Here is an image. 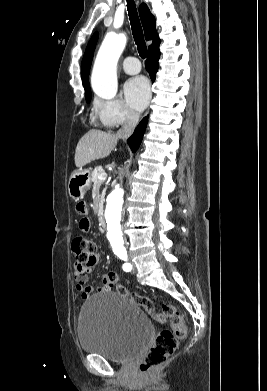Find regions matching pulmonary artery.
<instances>
[{
  "mask_svg": "<svg viewBox=\"0 0 267 391\" xmlns=\"http://www.w3.org/2000/svg\"><path fill=\"white\" fill-rule=\"evenodd\" d=\"M123 70L130 75H134L140 72L141 65L136 57H127L122 62Z\"/></svg>",
  "mask_w": 267,
  "mask_h": 391,
  "instance_id": "obj_1",
  "label": "pulmonary artery"
}]
</instances>
